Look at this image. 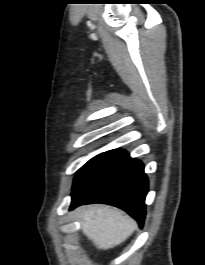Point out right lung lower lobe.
Returning <instances> with one entry per match:
<instances>
[{
  "label": "right lung lower lobe",
  "mask_w": 205,
  "mask_h": 265,
  "mask_svg": "<svg viewBox=\"0 0 205 265\" xmlns=\"http://www.w3.org/2000/svg\"><path fill=\"white\" fill-rule=\"evenodd\" d=\"M148 179L141 161L124 150L105 152L73 188L70 210L90 203L123 209L143 226Z\"/></svg>",
  "instance_id": "right-lung-lower-lobe-1"
}]
</instances>
